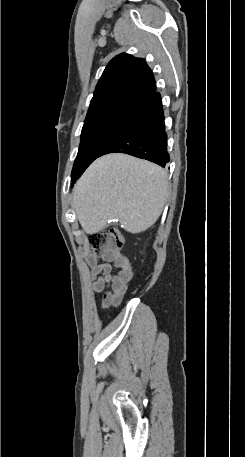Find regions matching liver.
Returning a JSON list of instances; mask_svg holds the SVG:
<instances>
[{
    "mask_svg": "<svg viewBox=\"0 0 245 457\" xmlns=\"http://www.w3.org/2000/svg\"><path fill=\"white\" fill-rule=\"evenodd\" d=\"M168 198V174L149 160L122 152L96 158L73 190V208L87 235L105 229L110 218L136 235L159 218Z\"/></svg>",
    "mask_w": 245,
    "mask_h": 457,
    "instance_id": "obj_1",
    "label": "liver"
}]
</instances>
